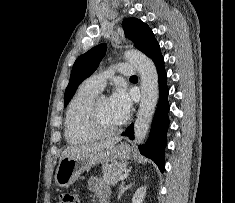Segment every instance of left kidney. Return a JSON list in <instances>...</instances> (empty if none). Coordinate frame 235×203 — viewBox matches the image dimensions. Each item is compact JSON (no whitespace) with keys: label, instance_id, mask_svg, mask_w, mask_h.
Wrapping results in <instances>:
<instances>
[{"label":"left kidney","instance_id":"left-kidney-1","mask_svg":"<svg viewBox=\"0 0 235 203\" xmlns=\"http://www.w3.org/2000/svg\"><path fill=\"white\" fill-rule=\"evenodd\" d=\"M146 189V186L138 188L135 194L133 195L132 203H143L144 197L146 195Z\"/></svg>","mask_w":235,"mask_h":203}]
</instances>
